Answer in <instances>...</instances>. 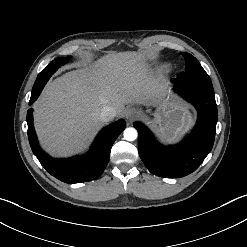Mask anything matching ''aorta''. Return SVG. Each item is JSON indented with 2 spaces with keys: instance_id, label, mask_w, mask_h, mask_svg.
I'll return each mask as SVG.
<instances>
[{
  "instance_id": "762f6f07",
  "label": "aorta",
  "mask_w": 247,
  "mask_h": 247,
  "mask_svg": "<svg viewBox=\"0 0 247 247\" xmlns=\"http://www.w3.org/2000/svg\"><path fill=\"white\" fill-rule=\"evenodd\" d=\"M137 130L135 128L129 127L124 130L123 136L127 141H134L137 138Z\"/></svg>"
}]
</instances>
